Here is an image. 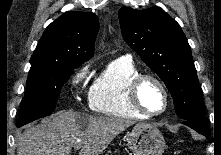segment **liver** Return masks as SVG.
Listing matches in <instances>:
<instances>
[{
    "label": "liver",
    "mask_w": 221,
    "mask_h": 155,
    "mask_svg": "<svg viewBox=\"0 0 221 155\" xmlns=\"http://www.w3.org/2000/svg\"><path fill=\"white\" fill-rule=\"evenodd\" d=\"M134 121L80 112H60L52 120L30 125L16 139L17 155H100Z\"/></svg>",
    "instance_id": "6515ba94"
}]
</instances>
